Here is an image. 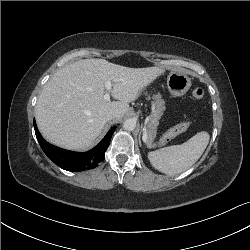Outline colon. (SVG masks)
Wrapping results in <instances>:
<instances>
[{
  "mask_svg": "<svg viewBox=\"0 0 250 250\" xmlns=\"http://www.w3.org/2000/svg\"><path fill=\"white\" fill-rule=\"evenodd\" d=\"M192 95L195 99L199 100L204 97V90L202 88H195L192 92ZM189 128L188 122H182L171 129H169L160 139L159 144L161 146L167 144L177 135L185 132Z\"/></svg>",
  "mask_w": 250,
  "mask_h": 250,
  "instance_id": "obj_1",
  "label": "colon"
}]
</instances>
